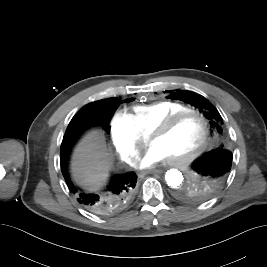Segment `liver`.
Here are the masks:
<instances>
[{
  "label": "liver",
  "mask_w": 267,
  "mask_h": 267,
  "mask_svg": "<svg viewBox=\"0 0 267 267\" xmlns=\"http://www.w3.org/2000/svg\"><path fill=\"white\" fill-rule=\"evenodd\" d=\"M110 168L111 160L103 134L99 131L88 133L73 155L72 174L75 181L95 191L106 182Z\"/></svg>",
  "instance_id": "1"
}]
</instances>
